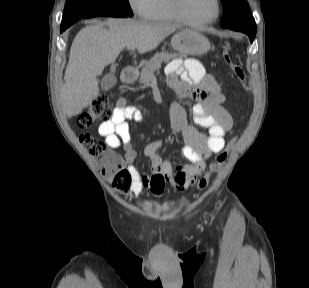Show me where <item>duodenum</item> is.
<instances>
[{
  "label": "duodenum",
  "instance_id": "410a0bca",
  "mask_svg": "<svg viewBox=\"0 0 309 288\" xmlns=\"http://www.w3.org/2000/svg\"><path fill=\"white\" fill-rule=\"evenodd\" d=\"M136 78V70L133 67H126L122 70L121 80L124 83H129L134 81Z\"/></svg>",
  "mask_w": 309,
  "mask_h": 288
}]
</instances>
